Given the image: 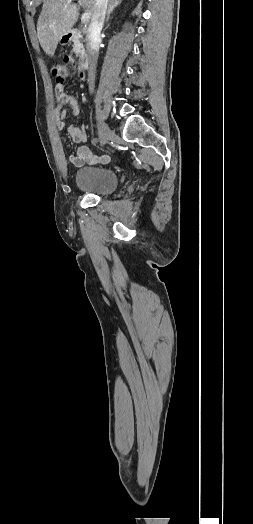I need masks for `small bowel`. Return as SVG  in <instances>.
Here are the masks:
<instances>
[{
  "instance_id": "c3829d8e",
  "label": "small bowel",
  "mask_w": 253,
  "mask_h": 524,
  "mask_svg": "<svg viewBox=\"0 0 253 524\" xmlns=\"http://www.w3.org/2000/svg\"><path fill=\"white\" fill-rule=\"evenodd\" d=\"M55 94L57 98V105L53 109L52 114L57 125V129L59 133L62 134V139L64 141H69L72 139L74 143L86 142L87 134L83 127H77L74 125L66 126L64 122L67 114V108H70L71 113L74 116L79 115L80 107L77 99L75 96L67 94L64 91V88L62 90L55 88ZM69 160L74 166L81 167L85 164H106L109 162L110 157L109 155L96 156L87 146H81L78 148L76 154L69 156Z\"/></svg>"
}]
</instances>
